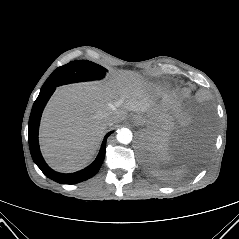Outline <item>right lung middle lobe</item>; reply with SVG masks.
I'll use <instances>...</instances> for the list:
<instances>
[{
  "instance_id": "dd1d6c3e",
  "label": "right lung middle lobe",
  "mask_w": 239,
  "mask_h": 239,
  "mask_svg": "<svg viewBox=\"0 0 239 239\" xmlns=\"http://www.w3.org/2000/svg\"><path fill=\"white\" fill-rule=\"evenodd\" d=\"M106 71L104 67L88 60L72 61L54 70L43 84L41 91H46L63 84L101 79L104 77Z\"/></svg>"
}]
</instances>
